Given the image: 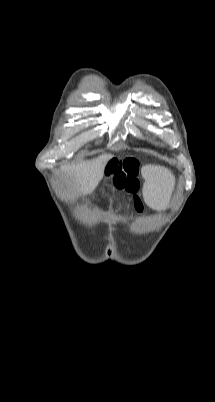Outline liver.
<instances>
[{
    "instance_id": "6515ba94",
    "label": "liver",
    "mask_w": 215,
    "mask_h": 402,
    "mask_svg": "<svg viewBox=\"0 0 215 402\" xmlns=\"http://www.w3.org/2000/svg\"><path fill=\"white\" fill-rule=\"evenodd\" d=\"M111 157V154H103L91 161L65 164L60 170L67 178H73L74 187L80 194L88 195L98 184L104 167Z\"/></svg>"
}]
</instances>
